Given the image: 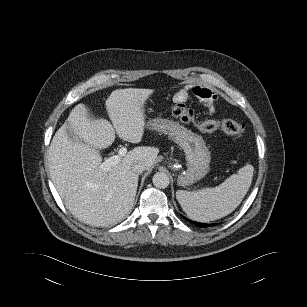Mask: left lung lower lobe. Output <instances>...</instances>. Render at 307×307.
<instances>
[{"label":"left lung lower lobe","instance_id":"1","mask_svg":"<svg viewBox=\"0 0 307 307\" xmlns=\"http://www.w3.org/2000/svg\"><path fill=\"white\" fill-rule=\"evenodd\" d=\"M192 222V221H191ZM196 226L198 227H209L210 225L209 224H205V223H199V222H193ZM213 224H211L212 226Z\"/></svg>","mask_w":307,"mask_h":307}]
</instances>
